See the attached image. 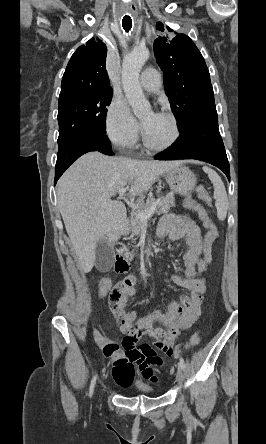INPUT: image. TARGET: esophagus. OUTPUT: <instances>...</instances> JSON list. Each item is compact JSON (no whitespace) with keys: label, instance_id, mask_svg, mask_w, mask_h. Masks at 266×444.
Returning a JSON list of instances; mask_svg holds the SVG:
<instances>
[{"label":"esophagus","instance_id":"esophagus-1","mask_svg":"<svg viewBox=\"0 0 266 444\" xmlns=\"http://www.w3.org/2000/svg\"><path fill=\"white\" fill-rule=\"evenodd\" d=\"M130 11L132 12V14L136 15L137 14V7L134 4L130 5Z\"/></svg>","mask_w":266,"mask_h":444}]
</instances>
